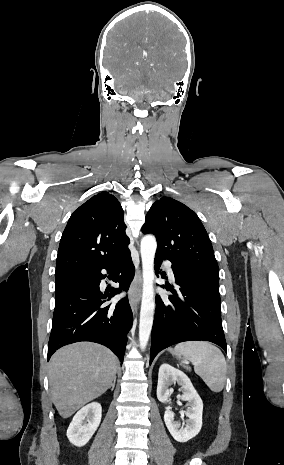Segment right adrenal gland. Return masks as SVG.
Wrapping results in <instances>:
<instances>
[{
  "label": "right adrenal gland",
  "mask_w": 284,
  "mask_h": 465,
  "mask_svg": "<svg viewBox=\"0 0 284 465\" xmlns=\"http://www.w3.org/2000/svg\"><path fill=\"white\" fill-rule=\"evenodd\" d=\"M115 383H116V377H114V379H113V381L111 383V387H112L111 391H114Z\"/></svg>",
  "instance_id": "obj_1"
}]
</instances>
